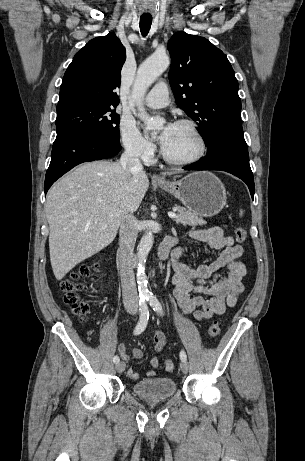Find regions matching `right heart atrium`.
<instances>
[{
	"label": "right heart atrium",
	"mask_w": 305,
	"mask_h": 461,
	"mask_svg": "<svg viewBox=\"0 0 305 461\" xmlns=\"http://www.w3.org/2000/svg\"><path fill=\"white\" fill-rule=\"evenodd\" d=\"M119 134L124 149L132 156L150 161L155 146L148 141L130 119H121Z\"/></svg>",
	"instance_id": "obj_1"
}]
</instances>
